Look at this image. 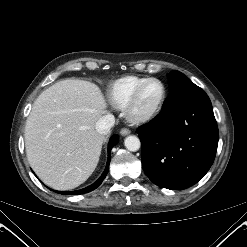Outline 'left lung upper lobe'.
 Listing matches in <instances>:
<instances>
[{
  "label": "left lung upper lobe",
  "mask_w": 247,
  "mask_h": 247,
  "mask_svg": "<svg viewBox=\"0 0 247 247\" xmlns=\"http://www.w3.org/2000/svg\"><path fill=\"white\" fill-rule=\"evenodd\" d=\"M167 76L170 94L180 90L197 87V85H195L189 78L177 70L170 72Z\"/></svg>",
  "instance_id": "obj_1"
}]
</instances>
